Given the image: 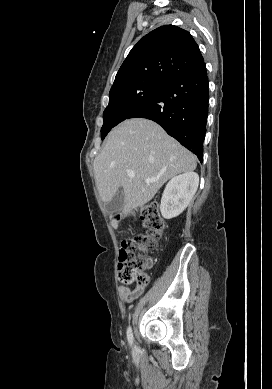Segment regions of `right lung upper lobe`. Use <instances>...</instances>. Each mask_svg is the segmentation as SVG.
I'll use <instances>...</instances> for the list:
<instances>
[{
  "label": "right lung upper lobe",
  "mask_w": 272,
  "mask_h": 389,
  "mask_svg": "<svg viewBox=\"0 0 272 389\" xmlns=\"http://www.w3.org/2000/svg\"><path fill=\"white\" fill-rule=\"evenodd\" d=\"M203 62L199 47L188 31L173 25L161 26L132 48L111 89L142 80L168 83Z\"/></svg>",
  "instance_id": "right-lung-upper-lobe-1"
}]
</instances>
